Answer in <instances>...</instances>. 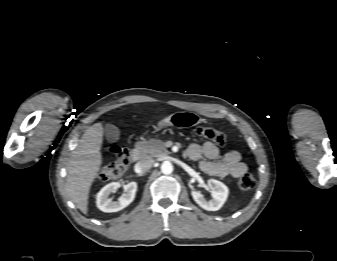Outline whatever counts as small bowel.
<instances>
[{
	"instance_id": "small-bowel-1",
	"label": "small bowel",
	"mask_w": 337,
	"mask_h": 261,
	"mask_svg": "<svg viewBox=\"0 0 337 261\" xmlns=\"http://www.w3.org/2000/svg\"><path fill=\"white\" fill-rule=\"evenodd\" d=\"M186 155L191 160H200L201 171L211 176L238 178L247 172V166L242 162L239 152L231 150L221 154L218 147L210 141L191 144Z\"/></svg>"
}]
</instances>
